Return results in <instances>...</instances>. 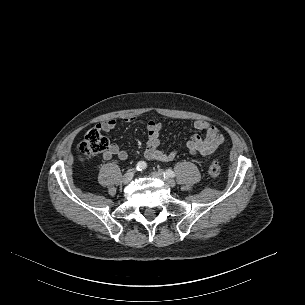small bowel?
<instances>
[{"label":"small bowel","mask_w":305,"mask_h":305,"mask_svg":"<svg viewBox=\"0 0 305 305\" xmlns=\"http://www.w3.org/2000/svg\"><path fill=\"white\" fill-rule=\"evenodd\" d=\"M133 120V119H131ZM127 120L128 122L131 121ZM116 126V120L108 119L97 125V128L103 132L111 131ZM192 128L198 131H205V135H193L186 143V147L191 155H199L208 157L213 154L224 143V137L220 130L205 120H197L192 123ZM163 130L162 124L154 120H149L147 123L148 140L144 155L148 160L169 162L174 160L177 155V150L165 152L159 149L160 134ZM117 157L120 160L128 158L127 151L120 148L118 144H111L108 149L103 153L105 160H110Z\"/></svg>","instance_id":"small-bowel-1"}]
</instances>
